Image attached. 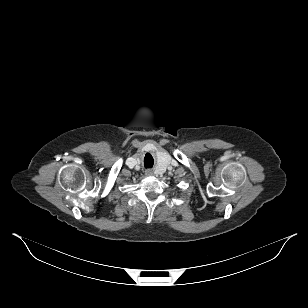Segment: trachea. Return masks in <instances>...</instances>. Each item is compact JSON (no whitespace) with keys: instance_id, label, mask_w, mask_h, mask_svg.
<instances>
[{"instance_id":"trachea-1","label":"trachea","mask_w":308,"mask_h":308,"mask_svg":"<svg viewBox=\"0 0 308 308\" xmlns=\"http://www.w3.org/2000/svg\"><path fill=\"white\" fill-rule=\"evenodd\" d=\"M144 165L146 168H151L153 166V159H144Z\"/></svg>"}]
</instances>
